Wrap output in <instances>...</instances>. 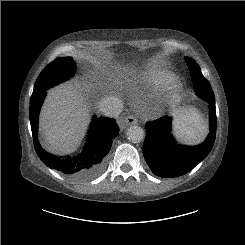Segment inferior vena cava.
I'll list each match as a JSON object with an SVG mask.
<instances>
[{"mask_svg":"<svg viewBox=\"0 0 245 245\" xmlns=\"http://www.w3.org/2000/svg\"><path fill=\"white\" fill-rule=\"evenodd\" d=\"M99 110L107 117H117L123 108L121 99L115 96L104 97L99 101Z\"/></svg>","mask_w":245,"mask_h":245,"instance_id":"inferior-vena-cava-1","label":"inferior vena cava"}]
</instances>
